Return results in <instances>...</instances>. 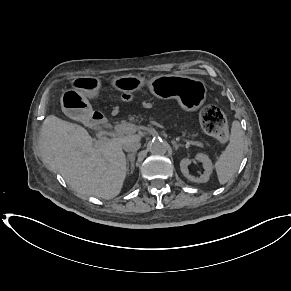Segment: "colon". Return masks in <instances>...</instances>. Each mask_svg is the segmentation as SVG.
<instances>
[{
    "label": "colon",
    "mask_w": 291,
    "mask_h": 291,
    "mask_svg": "<svg viewBox=\"0 0 291 291\" xmlns=\"http://www.w3.org/2000/svg\"><path fill=\"white\" fill-rule=\"evenodd\" d=\"M200 123L204 131L221 142L228 140L227 118L215 104L205 105L200 112Z\"/></svg>",
    "instance_id": "1"
}]
</instances>
